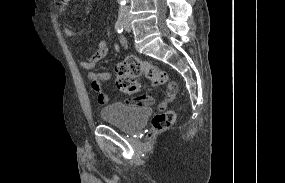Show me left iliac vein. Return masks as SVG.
<instances>
[{
	"instance_id": "1",
	"label": "left iliac vein",
	"mask_w": 285,
	"mask_h": 183,
	"mask_svg": "<svg viewBox=\"0 0 285 183\" xmlns=\"http://www.w3.org/2000/svg\"><path fill=\"white\" fill-rule=\"evenodd\" d=\"M124 28L127 32H130L131 31V24H130V20L129 18L126 16L124 18Z\"/></svg>"
}]
</instances>
